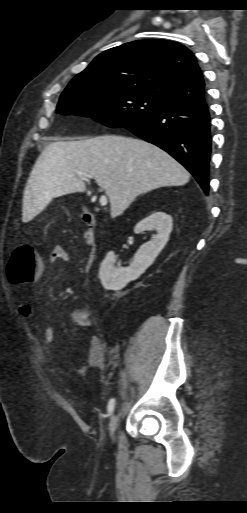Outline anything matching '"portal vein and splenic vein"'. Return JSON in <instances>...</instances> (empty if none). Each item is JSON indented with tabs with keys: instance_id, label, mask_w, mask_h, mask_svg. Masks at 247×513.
Instances as JSON below:
<instances>
[{
	"instance_id": "portal-vein-and-splenic-vein-1",
	"label": "portal vein and splenic vein",
	"mask_w": 247,
	"mask_h": 513,
	"mask_svg": "<svg viewBox=\"0 0 247 513\" xmlns=\"http://www.w3.org/2000/svg\"><path fill=\"white\" fill-rule=\"evenodd\" d=\"M78 177L81 179H87V178L90 179V178H92V175L83 173V172H79ZM106 204H107V197L105 195H101L100 196V205L105 206Z\"/></svg>"
}]
</instances>
